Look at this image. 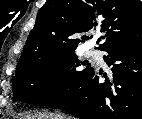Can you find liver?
Listing matches in <instances>:
<instances>
[{"label": "liver", "instance_id": "1", "mask_svg": "<svg viewBox=\"0 0 142 119\" xmlns=\"http://www.w3.org/2000/svg\"><path fill=\"white\" fill-rule=\"evenodd\" d=\"M24 119H69L60 114H36L33 116H26Z\"/></svg>", "mask_w": 142, "mask_h": 119}]
</instances>
